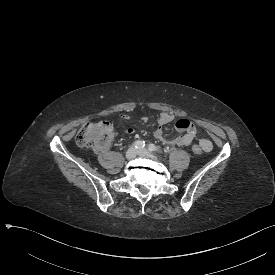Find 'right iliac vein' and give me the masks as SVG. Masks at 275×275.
<instances>
[{"instance_id":"right-iliac-vein-1","label":"right iliac vein","mask_w":275,"mask_h":275,"mask_svg":"<svg viewBox=\"0 0 275 275\" xmlns=\"http://www.w3.org/2000/svg\"><path fill=\"white\" fill-rule=\"evenodd\" d=\"M137 154H138V150L134 147H131L126 152V158L128 160H132L136 157Z\"/></svg>"}]
</instances>
